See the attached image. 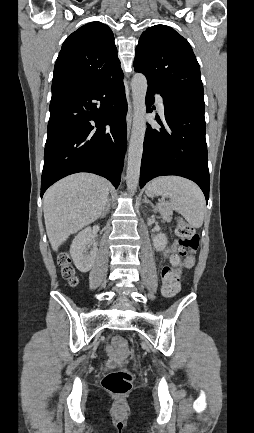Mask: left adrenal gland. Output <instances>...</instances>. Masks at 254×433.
<instances>
[{
  "label": "left adrenal gland",
  "instance_id": "obj_1",
  "mask_svg": "<svg viewBox=\"0 0 254 433\" xmlns=\"http://www.w3.org/2000/svg\"><path fill=\"white\" fill-rule=\"evenodd\" d=\"M143 202L149 203L153 207V209L155 210V206L147 199L146 196H144Z\"/></svg>",
  "mask_w": 254,
  "mask_h": 433
}]
</instances>
